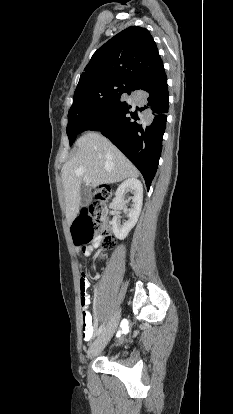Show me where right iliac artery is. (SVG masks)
Wrapping results in <instances>:
<instances>
[{"mask_svg": "<svg viewBox=\"0 0 233 414\" xmlns=\"http://www.w3.org/2000/svg\"><path fill=\"white\" fill-rule=\"evenodd\" d=\"M105 329V325L104 324H102L100 327H99V329H98V331H97V335H100L102 332H103V330Z\"/></svg>", "mask_w": 233, "mask_h": 414, "instance_id": "right-iliac-artery-1", "label": "right iliac artery"}]
</instances>
